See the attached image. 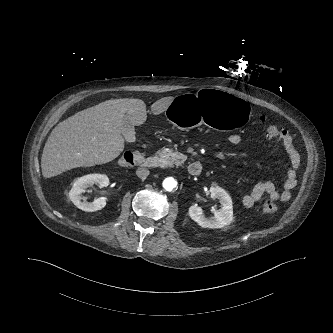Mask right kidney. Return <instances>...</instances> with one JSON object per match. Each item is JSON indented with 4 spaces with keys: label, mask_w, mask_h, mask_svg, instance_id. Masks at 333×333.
<instances>
[{
    "label": "right kidney",
    "mask_w": 333,
    "mask_h": 333,
    "mask_svg": "<svg viewBox=\"0 0 333 333\" xmlns=\"http://www.w3.org/2000/svg\"><path fill=\"white\" fill-rule=\"evenodd\" d=\"M94 184L100 187L108 186L109 178L105 174H88L75 180L69 198L76 207L86 212H94L105 207L106 201L103 198L95 199L92 203L82 201V193Z\"/></svg>",
    "instance_id": "obj_1"
}]
</instances>
